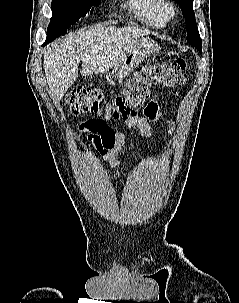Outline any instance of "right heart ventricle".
<instances>
[{
  "instance_id": "right-heart-ventricle-1",
  "label": "right heart ventricle",
  "mask_w": 239,
  "mask_h": 303,
  "mask_svg": "<svg viewBox=\"0 0 239 303\" xmlns=\"http://www.w3.org/2000/svg\"><path fill=\"white\" fill-rule=\"evenodd\" d=\"M129 8L146 25L154 28L165 27L171 17L169 0H127Z\"/></svg>"
}]
</instances>
